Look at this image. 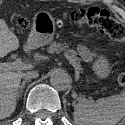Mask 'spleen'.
I'll use <instances>...</instances> for the list:
<instances>
[{
	"label": "spleen",
	"instance_id": "spleen-1",
	"mask_svg": "<svg viewBox=\"0 0 125 125\" xmlns=\"http://www.w3.org/2000/svg\"><path fill=\"white\" fill-rule=\"evenodd\" d=\"M125 116V92L96 101L79 99L74 108L75 125H116Z\"/></svg>",
	"mask_w": 125,
	"mask_h": 125
}]
</instances>
